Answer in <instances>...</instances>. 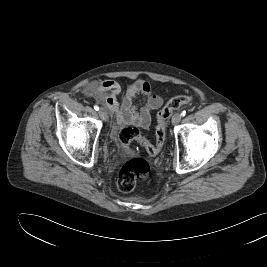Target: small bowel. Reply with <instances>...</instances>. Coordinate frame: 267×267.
Here are the masks:
<instances>
[{
    "label": "small bowel",
    "mask_w": 267,
    "mask_h": 267,
    "mask_svg": "<svg viewBox=\"0 0 267 267\" xmlns=\"http://www.w3.org/2000/svg\"><path fill=\"white\" fill-rule=\"evenodd\" d=\"M121 91V85L115 80L93 81L86 86L87 94L95 97L115 115L119 127L133 125L142 129L149 128L152 112L162 106V98L154 93L149 82L142 79L128 85L119 104L118 95ZM139 97L143 99L140 107L136 103Z\"/></svg>",
    "instance_id": "small-bowel-1"
}]
</instances>
